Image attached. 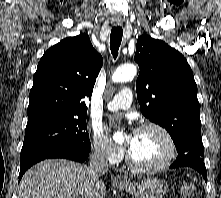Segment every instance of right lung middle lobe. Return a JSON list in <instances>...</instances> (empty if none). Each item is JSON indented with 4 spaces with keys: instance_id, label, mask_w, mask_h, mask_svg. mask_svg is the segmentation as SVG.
Masks as SVG:
<instances>
[{
    "instance_id": "1",
    "label": "right lung middle lobe",
    "mask_w": 221,
    "mask_h": 198,
    "mask_svg": "<svg viewBox=\"0 0 221 198\" xmlns=\"http://www.w3.org/2000/svg\"><path fill=\"white\" fill-rule=\"evenodd\" d=\"M58 145L90 152L86 115H51L28 121L20 160L43 148Z\"/></svg>"
}]
</instances>
